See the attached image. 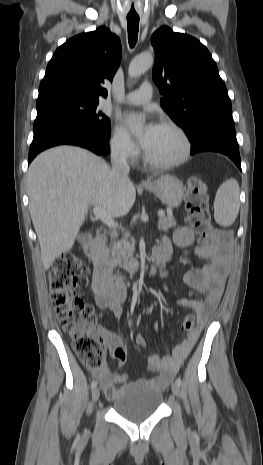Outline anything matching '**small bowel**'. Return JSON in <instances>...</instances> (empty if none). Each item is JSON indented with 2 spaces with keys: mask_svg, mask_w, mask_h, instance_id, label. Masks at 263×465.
<instances>
[{
  "mask_svg": "<svg viewBox=\"0 0 263 465\" xmlns=\"http://www.w3.org/2000/svg\"><path fill=\"white\" fill-rule=\"evenodd\" d=\"M194 233L185 226L177 228L171 238H164L155 248L154 257L162 253H170L172 244L180 247H186L193 243ZM229 235L220 234L213 241L199 244L195 247V254L203 259L209 260V263L201 268L189 270L185 276V283L202 294L198 297H179L176 303L179 306L192 309L198 318V327L189 332L186 339L178 343L171 352L163 355L152 353L147 358V370L157 373L156 377L147 379L142 377L134 382H128V376L121 371L111 372L108 367L99 371H93V375L99 381L105 391L108 399L113 400L135 386H147L156 391H163L170 380L180 369L184 360L190 354L196 344L201 329L215 311L222 296L225 282L228 274V255H229ZM126 291L120 287L116 292L103 294L96 290L95 303L101 309H109L117 317L123 314ZM153 327L157 330V322ZM105 338V344L110 352L111 357L116 360L121 369L126 362V350L116 335L102 331ZM136 346L144 348L146 341L142 335L135 338Z\"/></svg>",
  "mask_w": 263,
  "mask_h": 465,
  "instance_id": "obj_1",
  "label": "small bowel"
}]
</instances>
